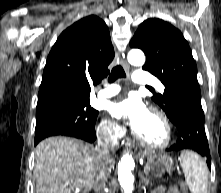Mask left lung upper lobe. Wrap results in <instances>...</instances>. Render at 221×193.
Listing matches in <instances>:
<instances>
[{
    "instance_id": "1",
    "label": "left lung upper lobe",
    "mask_w": 221,
    "mask_h": 193,
    "mask_svg": "<svg viewBox=\"0 0 221 193\" xmlns=\"http://www.w3.org/2000/svg\"><path fill=\"white\" fill-rule=\"evenodd\" d=\"M130 46L145 52L147 60L143 69L164 84V94H153L152 100L176 124L181 100L191 95L201 97L196 63L187 41L168 22L150 18L140 24Z\"/></svg>"
}]
</instances>
